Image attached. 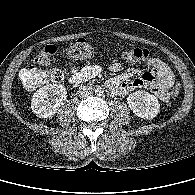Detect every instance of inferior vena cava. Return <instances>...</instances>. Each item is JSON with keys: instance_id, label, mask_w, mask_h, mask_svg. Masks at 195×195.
I'll return each mask as SVG.
<instances>
[{"instance_id": "obj_1", "label": "inferior vena cava", "mask_w": 195, "mask_h": 195, "mask_svg": "<svg viewBox=\"0 0 195 195\" xmlns=\"http://www.w3.org/2000/svg\"><path fill=\"white\" fill-rule=\"evenodd\" d=\"M79 94L82 98L90 97L93 94L92 86H82L79 88Z\"/></svg>"}]
</instances>
